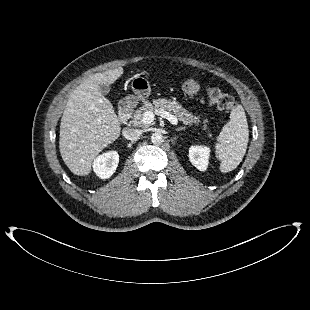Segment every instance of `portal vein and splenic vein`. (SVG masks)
Segmentation results:
<instances>
[{"mask_svg": "<svg viewBox=\"0 0 310 310\" xmlns=\"http://www.w3.org/2000/svg\"><path fill=\"white\" fill-rule=\"evenodd\" d=\"M155 114L161 116L162 118H166L173 125L178 124V119L176 118V116L162 109H155L154 111L153 110L146 111L143 114L142 122L144 124H151L155 119Z\"/></svg>", "mask_w": 310, "mask_h": 310, "instance_id": "18ae733b", "label": "portal vein and splenic vein"}]
</instances>
